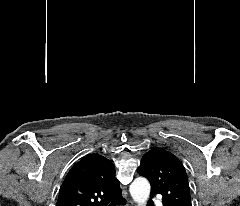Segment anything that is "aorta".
<instances>
[{"instance_id":"1","label":"aorta","mask_w":240,"mask_h":206,"mask_svg":"<svg viewBox=\"0 0 240 206\" xmlns=\"http://www.w3.org/2000/svg\"><path fill=\"white\" fill-rule=\"evenodd\" d=\"M130 194L138 206H146L150 195V184L147 179L136 178L130 185Z\"/></svg>"}]
</instances>
